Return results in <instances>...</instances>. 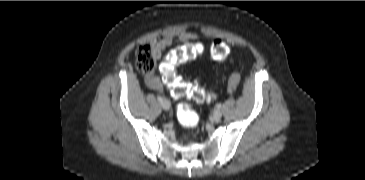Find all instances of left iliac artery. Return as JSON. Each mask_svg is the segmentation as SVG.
Masks as SVG:
<instances>
[{
    "label": "left iliac artery",
    "instance_id": "obj_1",
    "mask_svg": "<svg viewBox=\"0 0 365 180\" xmlns=\"http://www.w3.org/2000/svg\"><path fill=\"white\" fill-rule=\"evenodd\" d=\"M216 107H217V109H221L222 106H221V104H217Z\"/></svg>",
    "mask_w": 365,
    "mask_h": 180
}]
</instances>
